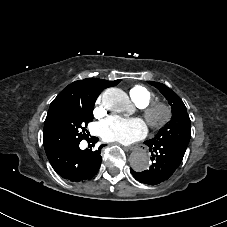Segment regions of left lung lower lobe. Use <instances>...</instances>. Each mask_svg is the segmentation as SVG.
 Wrapping results in <instances>:
<instances>
[{
  "instance_id": "obj_1",
  "label": "left lung lower lobe",
  "mask_w": 227,
  "mask_h": 227,
  "mask_svg": "<svg viewBox=\"0 0 227 227\" xmlns=\"http://www.w3.org/2000/svg\"><path fill=\"white\" fill-rule=\"evenodd\" d=\"M152 152L154 162L148 170L135 172L130 169L132 175L142 183L157 185L167 180L180 165L186 151V146L165 141H145Z\"/></svg>"
}]
</instances>
